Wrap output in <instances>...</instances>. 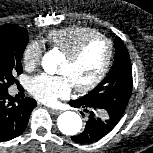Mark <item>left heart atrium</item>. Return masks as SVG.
<instances>
[{
    "label": "left heart atrium",
    "mask_w": 153,
    "mask_h": 153,
    "mask_svg": "<svg viewBox=\"0 0 153 153\" xmlns=\"http://www.w3.org/2000/svg\"><path fill=\"white\" fill-rule=\"evenodd\" d=\"M71 89L72 84L66 75L40 74L29 83L30 93L47 105H55L59 99L67 98Z\"/></svg>",
    "instance_id": "1"
}]
</instances>
